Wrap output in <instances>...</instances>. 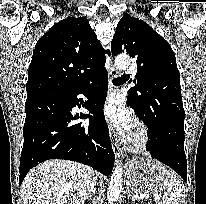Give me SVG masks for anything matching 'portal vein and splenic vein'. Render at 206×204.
Returning a JSON list of instances; mask_svg holds the SVG:
<instances>
[{
	"instance_id": "portal-vein-and-splenic-vein-1",
	"label": "portal vein and splenic vein",
	"mask_w": 206,
	"mask_h": 204,
	"mask_svg": "<svg viewBox=\"0 0 206 204\" xmlns=\"http://www.w3.org/2000/svg\"><path fill=\"white\" fill-rule=\"evenodd\" d=\"M135 197H138V198H139L138 195H136ZM159 200H160V197H159L158 195H156V196H155V201L157 202V201H159Z\"/></svg>"
}]
</instances>
